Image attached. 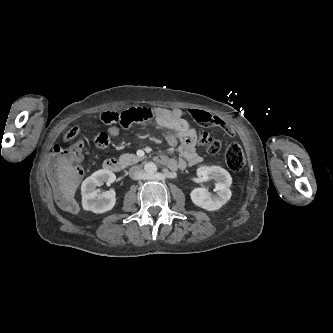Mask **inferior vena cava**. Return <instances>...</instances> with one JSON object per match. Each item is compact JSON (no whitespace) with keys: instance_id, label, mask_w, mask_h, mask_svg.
<instances>
[{"instance_id":"1","label":"inferior vena cava","mask_w":333,"mask_h":333,"mask_svg":"<svg viewBox=\"0 0 333 333\" xmlns=\"http://www.w3.org/2000/svg\"><path fill=\"white\" fill-rule=\"evenodd\" d=\"M142 175H143V170L140 166H132L129 169V176L134 180L140 179Z\"/></svg>"}]
</instances>
